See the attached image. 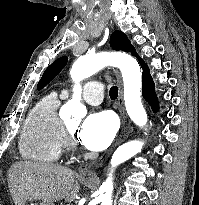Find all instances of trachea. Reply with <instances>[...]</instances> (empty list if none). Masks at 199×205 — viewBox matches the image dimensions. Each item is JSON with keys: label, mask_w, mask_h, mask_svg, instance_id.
<instances>
[{"label": "trachea", "mask_w": 199, "mask_h": 205, "mask_svg": "<svg viewBox=\"0 0 199 205\" xmlns=\"http://www.w3.org/2000/svg\"><path fill=\"white\" fill-rule=\"evenodd\" d=\"M109 94H110V98L112 100L116 99L117 96H118V88H117V86H112L110 88Z\"/></svg>", "instance_id": "obj_1"}]
</instances>
